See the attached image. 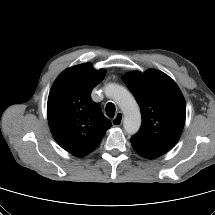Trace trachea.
<instances>
[{
    "label": "trachea",
    "instance_id": "obj_1",
    "mask_svg": "<svg viewBox=\"0 0 215 215\" xmlns=\"http://www.w3.org/2000/svg\"><path fill=\"white\" fill-rule=\"evenodd\" d=\"M115 105L113 103H107L106 105V115L110 118H113L115 115Z\"/></svg>",
    "mask_w": 215,
    "mask_h": 215
}]
</instances>
